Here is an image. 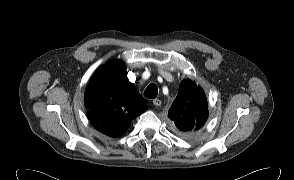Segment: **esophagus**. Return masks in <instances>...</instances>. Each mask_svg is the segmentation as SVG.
Segmentation results:
<instances>
[{"instance_id":"obj_1","label":"esophagus","mask_w":294,"mask_h":180,"mask_svg":"<svg viewBox=\"0 0 294 180\" xmlns=\"http://www.w3.org/2000/svg\"><path fill=\"white\" fill-rule=\"evenodd\" d=\"M152 102H153V105H155V106H160L161 105V100L160 99H154Z\"/></svg>"}]
</instances>
